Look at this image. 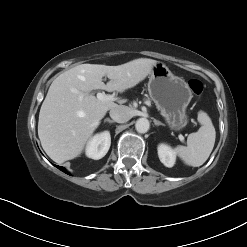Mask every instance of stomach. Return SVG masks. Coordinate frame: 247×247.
Returning <instances> with one entry per match:
<instances>
[{"mask_svg": "<svg viewBox=\"0 0 247 247\" xmlns=\"http://www.w3.org/2000/svg\"><path fill=\"white\" fill-rule=\"evenodd\" d=\"M148 92L170 129L180 131L187 125L186 109L193 95L184 79L157 62L149 74Z\"/></svg>", "mask_w": 247, "mask_h": 247, "instance_id": "stomach-1", "label": "stomach"}]
</instances>
